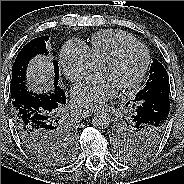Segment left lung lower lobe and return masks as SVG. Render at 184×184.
Listing matches in <instances>:
<instances>
[{
	"instance_id": "1",
	"label": "left lung lower lobe",
	"mask_w": 184,
	"mask_h": 184,
	"mask_svg": "<svg viewBox=\"0 0 184 184\" xmlns=\"http://www.w3.org/2000/svg\"><path fill=\"white\" fill-rule=\"evenodd\" d=\"M161 89V96L155 94V88H151L136 95L132 101L133 119L145 128H151L156 136L163 138L166 130L169 109H170V86H158ZM130 102H127L126 106ZM131 107V106H129Z\"/></svg>"
}]
</instances>
